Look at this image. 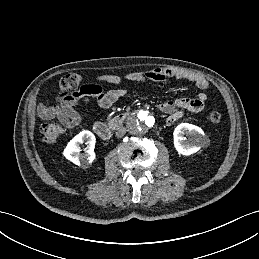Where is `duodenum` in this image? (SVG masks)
I'll use <instances>...</instances> for the list:
<instances>
[{"label":"duodenum","instance_id":"duodenum-1","mask_svg":"<svg viewBox=\"0 0 259 259\" xmlns=\"http://www.w3.org/2000/svg\"><path fill=\"white\" fill-rule=\"evenodd\" d=\"M127 115H119L114 117L108 124L97 122L94 125L95 133L102 139L108 140L112 136L113 130L119 128L126 120Z\"/></svg>","mask_w":259,"mask_h":259}]
</instances>
